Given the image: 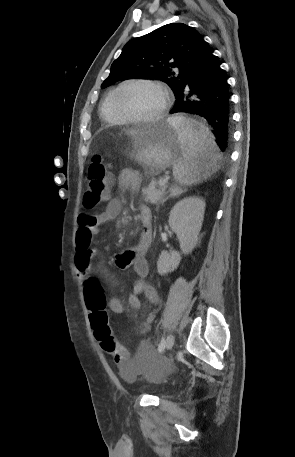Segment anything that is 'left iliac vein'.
<instances>
[{"label":"left iliac vein","instance_id":"1","mask_svg":"<svg viewBox=\"0 0 295 457\" xmlns=\"http://www.w3.org/2000/svg\"><path fill=\"white\" fill-rule=\"evenodd\" d=\"M174 342H175L174 336L172 334L168 335L166 342H165V348L167 350L171 349L174 345Z\"/></svg>","mask_w":295,"mask_h":457}]
</instances>
